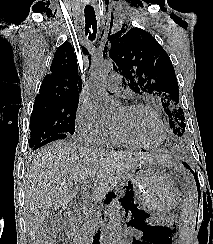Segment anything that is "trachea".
I'll use <instances>...</instances> for the list:
<instances>
[{"label": "trachea", "mask_w": 213, "mask_h": 244, "mask_svg": "<svg viewBox=\"0 0 213 244\" xmlns=\"http://www.w3.org/2000/svg\"><path fill=\"white\" fill-rule=\"evenodd\" d=\"M85 20H86L85 33L86 35H89L88 39L93 41L96 37V32H97V21H96L95 11L93 7L85 8Z\"/></svg>", "instance_id": "obj_1"}]
</instances>
